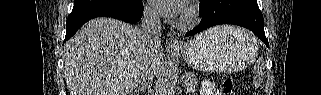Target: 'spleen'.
Here are the masks:
<instances>
[{
    "label": "spleen",
    "instance_id": "spleen-1",
    "mask_svg": "<svg viewBox=\"0 0 321 95\" xmlns=\"http://www.w3.org/2000/svg\"><path fill=\"white\" fill-rule=\"evenodd\" d=\"M225 29H229L228 27H225ZM254 79L253 84L255 87H260L265 74V62L264 59L261 57L256 61V64L254 66Z\"/></svg>",
    "mask_w": 321,
    "mask_h": 95
}]
</instances>
